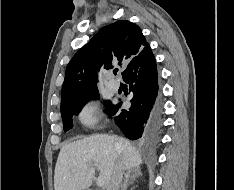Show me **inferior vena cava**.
<instances>
[{"label":"inferior vena cava","instance_id":"inferior-vena-cava-1","mask_svg":"<svg viewBox=\"0 0 234 190\" xmlns=\"http://www.w3.org/2000/svg\"><path fill=\"white\" fill-rule=\"evenodd\" d=\"M124 167L121 159H119L114 167L110 181L106 187V190H119L120 184L123 178Z\"/></svg>","mask_w":234,"mask_h":190}]
</instances>
